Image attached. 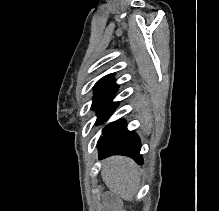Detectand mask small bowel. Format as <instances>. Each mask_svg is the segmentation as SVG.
<instances>
[{
	"label": "small bowel",
	"mask_w": 219,
	"mask_h": 211,
	"mask_svg": "<svg viewBox=\"0 0 219 211\" xmlns=\"http://www.w3.org/2000/svg\"><path fill=\"white\" fill-rule=\"evenodd\" d=\"M103 205L106 211H119L117 201L112 195H105L103 197Z\"/></svg>",
	"instance_id": "obj_1"
}]
</instances>
